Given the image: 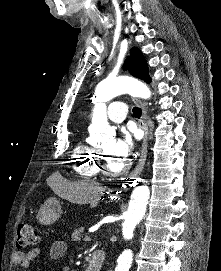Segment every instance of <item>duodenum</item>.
<instances>
[{"mask_svg":"<svg viewBox=\"0 0 221 271\" xmlns=\"http://www.w3.org/2000/svg\"><path fill=\"white\" fill-rule=\"evenodd\" d=\"M105 262V253L102 250H96L92 253L91 259L85 268V271H101Z\"/></svg>","mask_w":221,"mask_h":271,"instance_id":"duodenum-1","label":"duodenum"}]
</instances>
